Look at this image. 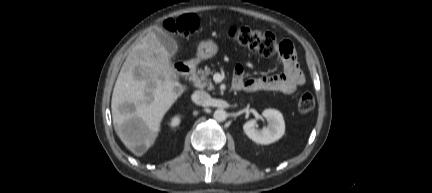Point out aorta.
<instances>
[{
  "label": "aorta",
  "instance_id": "obj_1",
  "mask_svg": "<svg viewBox=\"0 0 432 193\" xmlns=\"http://www.w3.org/2000/svg\"><path fill=\"white\" fill-rule=\"evenodd\" d=\"M213 118L218 122H223L227 119V112L223 109H217L213 114Z\"/></svg>",
  "mask_w": 432,
  "mask_h": 193
}]
</instances>
